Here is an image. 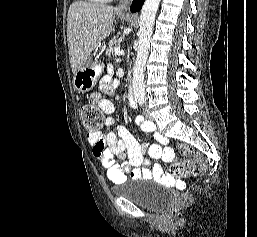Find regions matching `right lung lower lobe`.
Listing matches in <instances>:
<instances>
[{
    "mask_svg": "<svg viewBox=\"0 0 257 237\" xmlns=\"http://www.w3.org/2000/svg\"><path fill=\"white\" fill-rule=\"evenodd\" d=\"M144 0H133L131 5V12H137L141 9Z\"/></svg>",
    "mask_w": 257,
    "mask_h": 237,
    "instance_id": "1",
    "label": "right lung lower lobe"
}]
</instances>
